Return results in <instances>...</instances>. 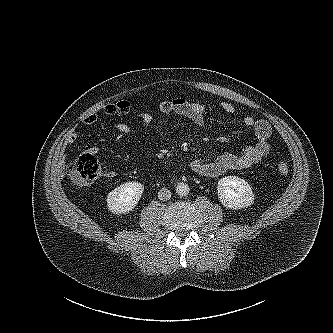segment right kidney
<instances>
[{
    "instance_id": "ca27d5eb",
    "label": "right kidney",
    "mask_w": 333,
    "mask_h": 333,
    "mask_svg": "<svg viewBox=\"0 0 333 333\" xmlns=\"http://www.w3.org/2000/svg\"><path fill=\"white\" fill-rule=\"evenodd\" d=\"M144 185L135 181L126 182L116 187L107 195V207L113 214H125L138 204Z\"/></svg>"
}]
</instances>
